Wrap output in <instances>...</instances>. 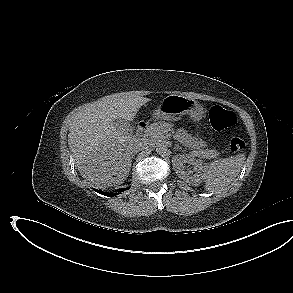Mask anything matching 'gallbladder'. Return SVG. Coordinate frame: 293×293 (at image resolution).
<instances>
[{
    "instance_id": "bac80fb5",
    "label": "gallbladder",
    "mask_w": 293,
    "mask_h": 293,
    "mask_svg": "<svg viewBox=\"0 0 293 293\" xmlns=\"http://www.w3.org/2000/svg\"><path fill=\"white\" fill-rule=\"evenodd\" d=\"M112 123H113V126L116 128V130L121 131L124 134H128L130 136L133 134V129L128 121L121 118H117L113 120Z\"/></svg>"
}]
</instances>
